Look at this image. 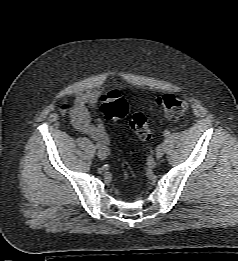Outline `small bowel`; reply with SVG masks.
Instances as JSON below:
<instances>
[{
  "mask_svg": "<svg viewBox=\"0 0 238 261\" xmlns=\"http://www.w3.org/2000/svg\"><path fill=\"white\" fill-rule=\"evenodd\" d=\"M102 94L98 91H86L78 95L73 105L63 110L68 114L74 128L88 136L97 143H107L109 136L106 125L103 121L98 120L96 123L91 122L89 108H95L101 102Z\"/></svg>",
  "mask_w": 238,
  "mask_h": 261,
  "instance_id": "obj_1",
  "label": "small bowel"
}]
</instances>
